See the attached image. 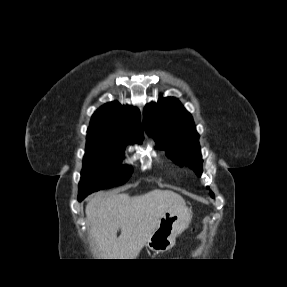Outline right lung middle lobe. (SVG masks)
I'll return each mask as SVG.
<instances>
[{
    "label": "right lung middle lobe",
    "mask_w": 287,
    "mask_h": 287,
    "mask_svg": "<svg viewBox=\"0 0 287 287\" xmlns=\"http://www.w3.org/2000/svg\"><path fill=\"white\" fill-rule=\"evenodd\" d=\"M124 147L125 143L87 139L78 196L122 185L130 178L132 168L121 165Z\"/></svg>",
    "instance_id": "obj_1"
}]
</instances>
